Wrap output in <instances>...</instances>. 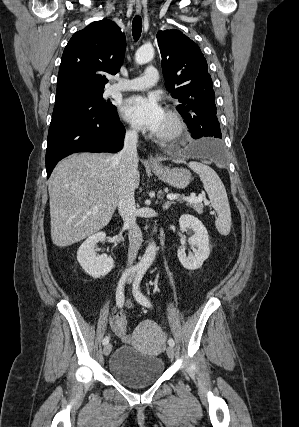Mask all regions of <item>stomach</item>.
I'll list each match as a JSON object with an SVG mask.
<instances>
[{"instance_id":"1","label":"stomach","mask_w":299,"mask_h":427,"mask_svg":"<svg viewBox=\"0 0 299 427\" xmlns=\"http://www.w3.org/2000/svg\"><path fill=\"white\" fill-rule=\"evenodd\" d=\"M154 174L163 182L178 189L187 187L191 181V173L183 168H167L151 166Z\"/></svg>"}]
</instances>
